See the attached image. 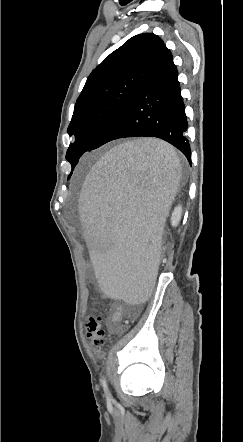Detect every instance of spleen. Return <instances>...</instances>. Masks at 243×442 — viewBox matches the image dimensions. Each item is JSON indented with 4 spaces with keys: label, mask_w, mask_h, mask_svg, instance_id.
<instances>
[{
    "label": "spleen",
    "mask_w": 243,
    "mask_h": 442,
    "mask_svg": "<svg viewBox=\"0 0 243 442\" xmlns=\"http://www.w3.org/2000/svg\"><path fill=\"white\" fill-rule=\"evenodd\" d=\"M181 178L175 150L157 139L119 145L81 184L78 226L95 263L99 291L142 307L159 273L161 237ZM157 192V193H145Z\"/></svg>",
    "instance_id": "3e777b00"
}]
</instances>
